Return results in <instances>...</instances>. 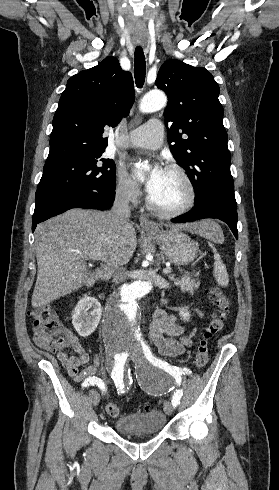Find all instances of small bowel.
I'll return each instance as SVG.
<instances>
[{
  "label": "small bowel",
  "mask_w": 279,
  "mask_h": 490,
  "mask_svg": "<svg viewBox=\"0 0 279 490\" xmlns=\"http://www.w3.org/2000/svg\"><path fill=\"white\" fill-rule=\"evenodd\" d=\"M149 335L159 352L168 357L182 353L190 345V339L183 326L178 323L176 316L168 314L159 306L153 311ZM71 337V347L76 355L70 356L66 352L60 351L56 355L57 359L75 382L80 383L83 387H88L93 383L96 373L101 367V357L99 354H95L92 364L81 369L90 361V355L77 337Z\"/></svg>",
  "instance_id": "obj_1"
}]
</instances>
